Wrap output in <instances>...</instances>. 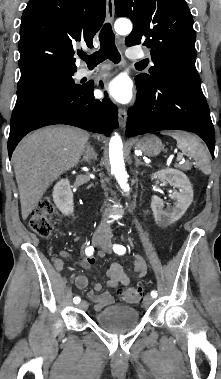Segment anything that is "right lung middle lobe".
Here are the masks:
<instances>
[{"label":"right lung middle lobe","mask_w":221,"mask_h":379,"mask_svg":"<svg viewBox=\"0 0 221 379\" xmlns=\"http://www.w3.org/2000/svg\"><path fill=\"white\" fill-rule=\"evenodd\" d=\"M75 71L76 69H58L20 81L11 122L23 116L40 101L59 97L62 92L80 89L81 85L75 84L72 79Z\"/></svg>","instance_id":"obj_1"}]
</instances>
